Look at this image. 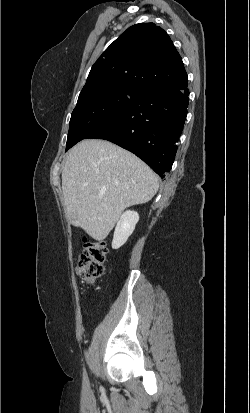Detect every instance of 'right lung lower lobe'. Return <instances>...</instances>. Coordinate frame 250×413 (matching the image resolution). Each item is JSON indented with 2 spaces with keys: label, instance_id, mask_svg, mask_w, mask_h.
<instances>
[{
  "label": "right lung lower lobe",
  "instance_id": "1",
  "mask_svg": "<svg viewBox=\"0 0 250 413\" xmlns=\"http://www.w3.org/2000/svg\"><path fill=\"white\" fill-rule=\"evenodd\" d=\"M188 95L187 82L142 92L86 138L108 140L131 151L164 178L175 159Z\"/></svg>",
  "mask_w": 250,
  "mask_h": 413
}]
</instances>
